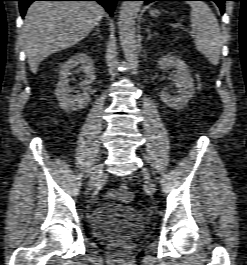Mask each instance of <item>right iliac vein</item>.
<instances>
[{"label": "right iliac vein", "instance_id": "right-iliac-vein-1", "mask_svg": "<svg viewBox=\"0 0 247 265\" xmlns=\"http://www.w3.org/2000/svg\"><path fill=\"white\" fill-rule=\"evenodd\" d=\"M103 173V164L100 163L96 166L95 171L93 172L90 182H89V187L93 188L97 182L99 181L100 177L102 176Z\"/></svg>", "mask_w": 247, "mask_h": 265}]
</instances>
